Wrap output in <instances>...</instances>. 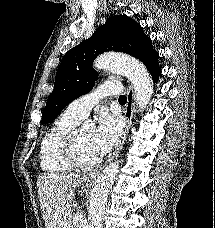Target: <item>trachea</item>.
<instances>
[{"instance_id": "trachea-1", "label": "trachea", "mask_w": 215, "mask_h": 228, "mask_svg": "<svg viewBox=\"0 0 215 228\" xmlns=\"http://www.w3.org/2000/svg\"><path fill=\"white\" fill-rule=\"evenodd\" d=\"M126 97H125V95H120V97H119V103H126Z\"/></svg>"}]
</instances>
